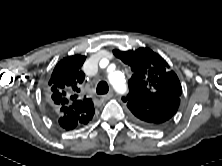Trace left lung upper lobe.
I'll list each match as a JSON object with an SVG mask.
<instances>
[{
  "instance_id": "5c2ea615",
  "label": "left lung upper lobe",
  "mask_w": 222,
  "mask_h": 166,
  "mask_svg": "<svg viewBox=\"0 0 222 166\" xmlns=\"http://www.w3.org/2000/svg\"><path fill=\"white\" fill-rule=\"evenodd\" d=\"M113 54L128 65L133 75L128 81L130 92L123 97L129 102L131 96L144 97L153 101L159 96H181L182 87L177 75L169 71L167 62L148 48L135 51L113 50Z\"/></svg>"
}]
</instances>
